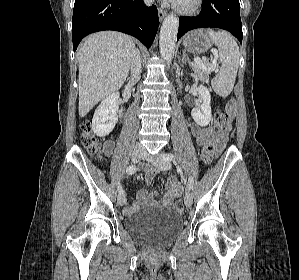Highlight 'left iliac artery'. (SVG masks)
<instances>
[{
  "mask_svg": "<svg viewBox=\"0 0 299 280\" xmlns=\"http://www.w3.org/2000/svg\"><path fill=\"white\" fill-rule=\"evenodd\" d=\"M164 158L166 160H168V161H175V155L172 154V153H166V154H164ZM179 171H181V170L179 169ZM193 185H194V179L192 178V176H189V179H188V189L189 190L192 189Z\"/></svg>",
  "mask_w": 299,
  "mask_h": 280,
  "instance_id": "1",
  "label": "left iliac artery"
}]
</instances>
